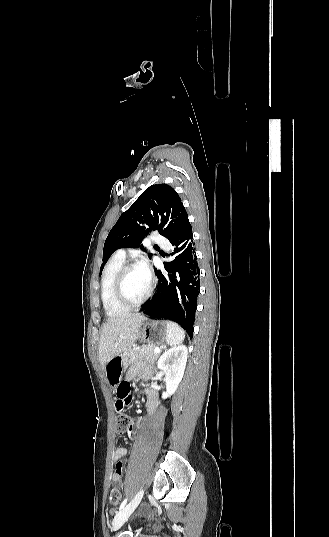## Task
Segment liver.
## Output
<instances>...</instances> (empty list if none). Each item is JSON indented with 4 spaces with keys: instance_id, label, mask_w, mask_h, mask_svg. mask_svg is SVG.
Masks as SVG:
<instances>
[{
    "instance_id": "liver-1",
    "label": "liver",
    "mask_w": 329,
    "mask_h": 537,
    "mask_svg": "<svg viewBox=\"0 0 329 537\" xmlns=\"http://www.w3.org/2000/svg\"><path fill=\"white\" fill-rule=\"evenodd\" d=\"M145 318L139 313L109 318L102 325L99 342V361L102 369L114 357L128 350L136 341Z\"/></svg>"
}]
</instances>
